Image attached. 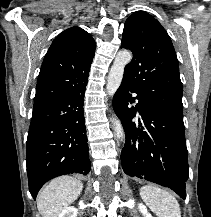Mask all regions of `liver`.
<instances>
[{"mask_svg":"<svg viewBox=\"0 0 211 217\" xmlns=\"http://www.w3.org/2000/svg\"><path fill=\"white\" fill-rule=\"evenodd\" d=\"M83 184L71 176H62L52 180L39 193L37 208L42 217H58L81 194Z\"/></svg>","mask_w":211,"mask_h":217,"instance_id":"6515ba94","label":"liver"}]
</instances>
